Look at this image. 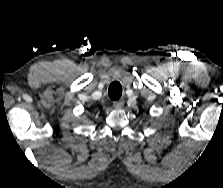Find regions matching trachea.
Here are the masks:
<instances>
[{
	"instance_id": "3493384b",
	"label": "trachea",
	"mask_w": 223,
	"mask_h": 188,
	"mask_svg": "<svg viewBox=\"0 0 223 188\" xmlns=\"http://www.w3.org/2000/svg\"><path fill=\"white\" fill-rule=\"evenodd\" d=\"M122 95V86L119 82H113L108 89V96L111 100H118Z\"/></svg>"
}]
</instances>
